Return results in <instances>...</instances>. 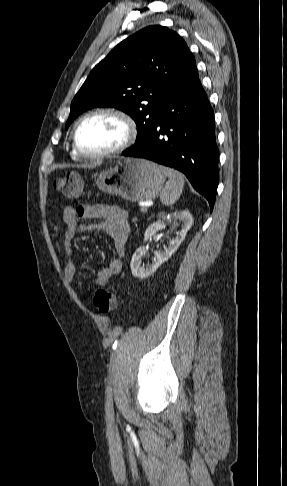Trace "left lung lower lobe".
Segmentation results:
<instances>
[{"label": "left lung lower lobe", "mask_w": 287, "mask_h": 486, "mask_svg": "<svg viewBox=\"0 0 287 486\" xmlns=\"http://www.w3.org/2000/svg\"><path fill=\"white\" fill-rule=\"evenodd\" d=\"M122 155L181 171L208 200L212 211L219 182V151L214 112L197 70L169 94L162 113L141 142Z\"/></svg>", "instance_id": "left-lung-lower-lobe-1"}]
</instances>
